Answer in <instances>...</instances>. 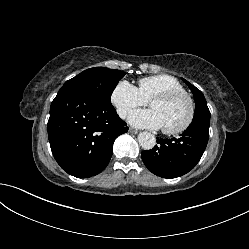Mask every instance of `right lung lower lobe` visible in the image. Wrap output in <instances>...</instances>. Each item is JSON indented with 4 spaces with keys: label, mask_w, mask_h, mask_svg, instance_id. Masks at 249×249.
I'll return each mask as SVG.
<instances>
[{
    "label": "right lung lower lobe",
    "mask_w": 249,
    "mask_h": 249,
    "mask_svg": "<svg viewBox=\"0 0 249 249\" xmlns=\"http://www.w3.org/2000/svg\"><path fill=\"white\" fill-rule=\"evenodd\" d=\"M47 129L54 158L78 178L104 170L115 139L128 131L111 104L72 89L59 90L51 104Z\"/></svg>",
    "instance_id": "1"
}]
</instances>
